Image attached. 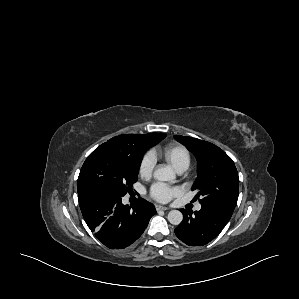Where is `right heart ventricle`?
Segmentation results:
<instances>
[{"instance_id":"1","label":"right heart ventricle","mask_w":299,"mask_h":299,"mask_svg":"<svg viewBox=\"0 0 299 299\" xmlns=\"http://www.w3.org/2000/svg\"><path fill=\"white\" fill-rule=\"evenodd\" d=\"M163 158L176 170H186L191 162L189 150L181 144H170L161 150Z\"/></svg>"}]
</instances>
